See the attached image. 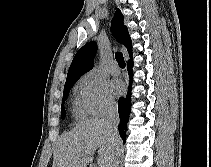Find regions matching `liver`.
<instances>
[{"label": "liver", "mask_w": 211, "mask_h": 167, "mask_svg": "<svg viewBox=\"0 0 211 167\" xmlns=\"http://www.w3.org/2000/svg\"><path fill=\"white\" fill-rule=\"evenodd\" d=\"M121 140L113 142L104 125V119L80 122L70 132L63 134L54 150L52 167H87L90 156L98 149V167H112Z\"/></svg>", "instance_id": "6515ba94"}]
</instances>
